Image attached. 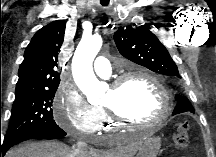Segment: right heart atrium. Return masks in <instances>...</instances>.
I'll use <instances>...</instances> for the list:
<instances>
[{
	"label": "right heart atrium",
	"instance_id": "right-heart-atrium-1",
	"mask_svg": "<svg viewBox=\"0 0 216 157\" xmlns=\"http://www.w3.org/2000/svg\"><path fill=\"white\" fill-rule=\"evenodd\" d=\"M53 116L57 124L73 135L91 136L103 121L102 109L90 104L73 87H61L54 98Z\"/></svg>",
	"mask_w": 216,
	"mask_h": 157
}]
</instances>
